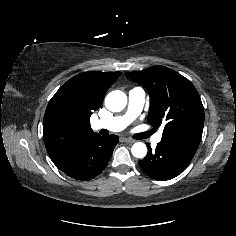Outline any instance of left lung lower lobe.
Segmentation results:
<instances>
[{
    "instance_id": "0a47b994",
    "label": "left lung lower lobe",
    "mask_w": 236,
    "mask_h": 236,
    "mask_svg": "<svg viewBox=\"0 0 236 236\" xmlns=\"http://www.w3.org/2000/svg\"><path fill=\"white\" fill-rule=\"evenodd\" d=\"M199 143L198 139L161 140L155 151L147 144V156L139 161V165L153 179L170 180L186 169Z\"/></svg>"
}]
</instances>
